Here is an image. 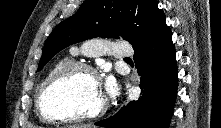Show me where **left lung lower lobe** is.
I'll use <instances>...</instances> for the list:
<instances>
[{
    "mask_svg": "<svg viewBox=\"0 0 221 128\" xmlns=\"http://www.w3.org/2000/svg\"><path fill=\"white\" fill-rule=\"evenodd\" d=\"M163 17L148 38L134 47L135 67L141 76V98L114 116L95 123L107 128H168L177 95V64L171 30Z\"/></svg>",
    "mask_w": 221,
    "mask_h": 128,
    "instance_id": "left-lung-lower-lobe-1",
    "label": "left lung lower lobe"
}]
</instances>
